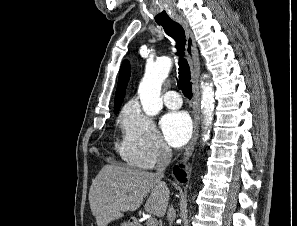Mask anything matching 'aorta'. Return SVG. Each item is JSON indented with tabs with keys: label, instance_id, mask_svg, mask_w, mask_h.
<instances>
[{
	"label": "aorta",
	"instance_id": "1",
	"mask_svg": "<svg viewBox=\"0 0 297 226\" xmlns=\"http://www.w3.org/2000/svg\"><path fill=\"white\" fill-rule=\"evenodd\" d=\"M172 60L170 58H160L152 65L146 67V71L142 82L139 85L138 93L142 109L148 116L157 115L162 107L163 102L161 98V86L163 81L167 78L171 67ZM201 109L204 116V132L203 140L207 141L210 137V125L213 121L214 111V89L213 85L209 83H201Z\"/></svg>",
	"mask_w": 297,
	"mask_h": 226
}]
</instances>
